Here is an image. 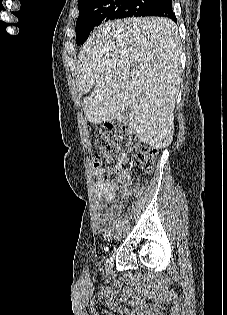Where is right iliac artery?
<instances>
[{
	"mask_svg": "<svg viewBox=\"0 0 227 315\" xmlns=\"http://www.w3.org/2000/svg\"><path fill=\"white\" fill-rule=\"evenodd\" d=\"M120 225H121V221H120V220H117V221H116V228H118Z\"/></svg>",
	"mask_w": 227,
	"mask_h": 315,
	"instance_id": "obj_1",
	"label": "right iliac artery"
}]
</instances>
